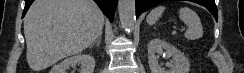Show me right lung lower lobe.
Returning <instances> with one entry per match:
<instances>
[{"label":"right lung lower lobe","mask_w":244,"mask_h":73,"mask_svg":"<svg viewBox=\"0 0 244 73\" xmlns=\"http://www.w3.org/2000/svg\"><path fill=\"white\" fill-rule=\"evenodd\" d=\"M34 0H25V8L23 11V16H25L27 10L29 9L30 5L33 3ZM97 5L100 7V9L103 11V13L110 19V21H113L114 18V12L115 8L117 6L118 0H94Z\"/></svg>","instance_id":"obj_1"}]
</instances>
